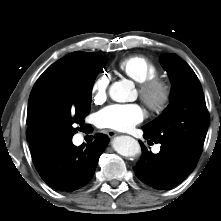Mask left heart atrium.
Segmentation results:
<instances>
[{
	"instance_id": "left-heart-atrium-1",
	"label": "left heart atrium",
	"mask_w": 221,
	"mask_h": 221,
	"mask_svg": "<svg viewBox=\"0 0 221 221\" xmlns=\"http://www.w3.org/2000/svg\"><path fill=\"white\" fill-rule=\"evenodd\" d=\"M144 111L138 104H112L97 115V123L102 128L129 131L144 119Z\"/></svg>"
}]
</instances>
